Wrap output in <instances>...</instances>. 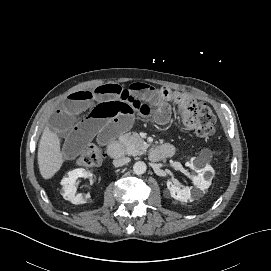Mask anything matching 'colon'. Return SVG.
<instances>
[{"label":"colon","instance_id":"5ec220e1","mask_svg":"<svg viewBox=\"0 0 271 271\" xmlns=\"http://www.w3.org/2000/svg\"><path fill=\"white\" fill-rule=\"evenodd\" d=\"M214 114L211 108L200 101L185 96L182 100V125L192 129L198 138L207 141L214 133ZM103 153L94 144H88L77 163L83 167H97L102 163Z\"/></svg>","mask_w":271,"mask_h":271}]
</instances>
